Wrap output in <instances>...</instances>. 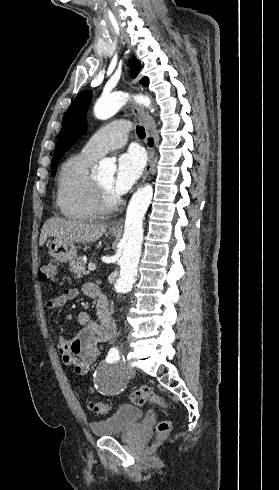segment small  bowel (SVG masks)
I'll use <instances>...</instances> for the list:
<instances>
[{
  "mask_svg": "<svg viewBox=\"0 0 279 490\" xmlns=\"http://www.w3.org/2000/svg\"><path fill=\"white\" fill-rule=\"evenodd\" d=\"M83 293L88 297H98L96 314L99 321L93 320L88 312H79L77 322L80 325V330L77 334L71 340H66L63 337L58 339L62 362L74 373L80 375L86 374L90 370L99 354V346L104 342L113 340L117 335V325L106 296L94 284L85 285ZM78 296L79 291L77 289H66L49 299L46 307L50 310L59 309Z\"/></svg>",
  "mask_w": 279,
  "mask_h": 490,
  "instance_id": "obj_1",
  "label": "small bowel"
}]
</instances>
